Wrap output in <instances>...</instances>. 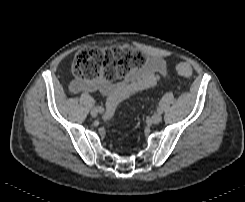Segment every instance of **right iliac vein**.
Instances as JSON below:
<instances>
[{"instance_id":"63e3f726","label":"right iliac vein","mask_w":245,"mask_h":202,"mask_svg":"<svg viewBox=\"0 0 245 202\" xmlns=\"http://www.w3.org/2000/svg\"><path fill=\"white\" fill-rule=\"evenodd\" d=\"M90 113L93 117H96L98 115V113H101V109L99 107H94L91 109Z\"/></svg>"}]
</instances>
